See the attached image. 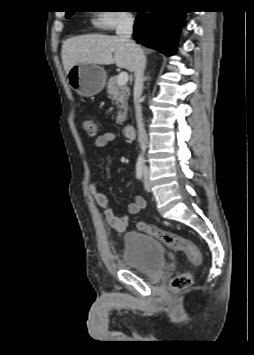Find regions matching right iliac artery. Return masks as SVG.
<instances>
[{
    "instance_id": "1",
    "label": "right iliac artery",
    "mask_w": 254,
    "mask_h": 355,
    "mask_svg": "<svg viewBox=\"0 0 254 355\" xmlns=\"http://www.w3.org/2000/svg\"><path fill=\"white\" fill-rule=\"evenodd\" d=\"M143 164L144 159L142 157H139L136 164V177L138 179H141L143 177Z\"/></svg>"
}]
</instances>
